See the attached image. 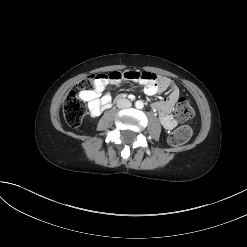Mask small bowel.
<instances>
[{
    "label": "small bowel",
    "mask_w": 247,
    "mask_h": 247,
    "mask_svg": "<svg viewBox=\"0 0 247 247\" xmlns=\"http://www.w3.org/2000/svg\"><path fill=\"white\" fill-rule=\"evenodd\" d=\"M100 75L103 77L95 81L92 89L80 93V97L87 102L92 116H99L102 111L110 108L112 97L110 93L103 94L109 83L133 80L143 85L145 93L149 96L169 91L167 99L154 103L152 107L158 112L160 122L165 129L172 130L176 127L177 121L172 115V110L179 99L180 92L170 79L161 77L152 71H116Z\"/></svg>",
    "instance_id": "1"
}]
</instances>
